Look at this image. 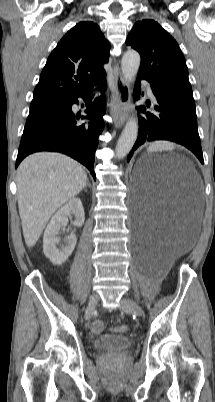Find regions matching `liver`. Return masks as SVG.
I'll return each instance as SVG.
<instances>
[{
    "label": "liver",
    "instance_id": "obj_1",
    "mask_svg": "<svg viewBox=\"0 0 215 402\" xmlns=\"http://www.w3.org/2000/svg\"><path fill=\"white\" fill-rule=\"evenodd\" d=\"M16 182L23 236L31 248L54 212L85 187L87 174L70 157L40 152L21 162Z\"/></svg>",
    "mask_w": 215,
    "mask_h": 402
}]
</instances>
